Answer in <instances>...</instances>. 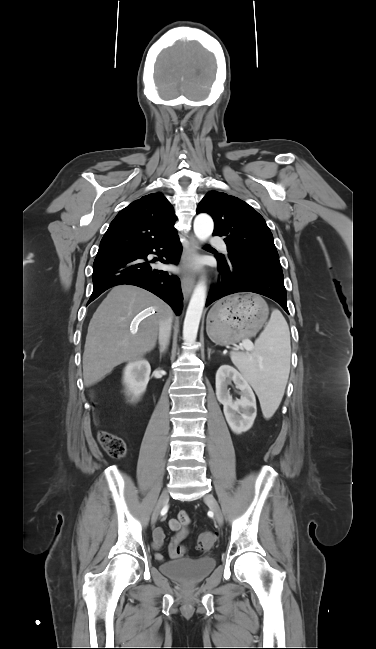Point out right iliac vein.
Listing matches in <instances>:
<instances>
[{
    "label": "right iliac vein",
    "instance_id": "63e3f726",
    "mask_svg": "<svg viewBox=\"0 0 376 649\" xmlns=\"http://www.w3.org/2000/svg\"><path fill=\"white\" fill-rule=\"evenodd\" d=\"M168 500H169L168 492H167V490H164L162 492V494L160 495V498H159V500H158V502H157V504H156V506L154 508V511H153V514H152V519H151L152 524L156 523L162 508L167 504Z\"/></svg>",
    "mask_w": 376,
    "mask_h": 649
}]
</instances>
